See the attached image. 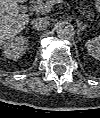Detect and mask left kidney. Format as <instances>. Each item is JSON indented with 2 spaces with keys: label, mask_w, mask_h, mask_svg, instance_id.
I'll return each instance as SVG.
<instances>
[{
  "label": "left kidney",
  "mask_w": 100,
  "mask_h": 118,
  "mask_svg": "<svg viewBox=\"0 0 100 118\" xmlns=\"http://www.w3.org/2000/svg\"><path fill=\"white\" fill-rule=\"evenodd\" d=\"M86 48L92 57L100 59V37H94L86 42Z\"/></svg>",
  "instance_id": "5707ae66"
}]
</instances>
